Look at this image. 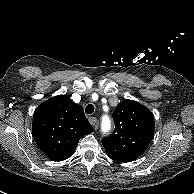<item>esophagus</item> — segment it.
<instances>
[{
  "instance_id": "1",
  "label": "esophagus",
  "mask_w": 194,
  "mask_h": 194,
  "mask_svg": "<svg viewBox=\"0 0 194 194\" xmlns=\"http://www.w3.org/2000/svg\"><path fill=\"white\" fill-rule=\"evenodd\" d=\"M89 122L91 125L96 126L98 121L96 117H89Z\"/></svg>"
}]
</instances>
